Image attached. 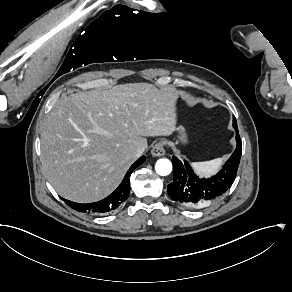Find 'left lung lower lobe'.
<instances>
[{"label": "left lung lower lobe", "mask_w": 292, "mask_h": 292, "mask_svg": "<svg viewBox=\"0 0 292 292\" xmlns=\"http://www.w3.org/2000/svg\"><path fill=\"white\" fill-rule=\"evenodd\" d=\"M236 141L237 147L234 153L223 168L209 179H200L187 161L181 162L173 156V181L167 186L172 200L188 209H198L217 202L236 178L242 149L238 130H236Z\"/></svg>", "instance_id": "0a47b994"}]
</instances>
